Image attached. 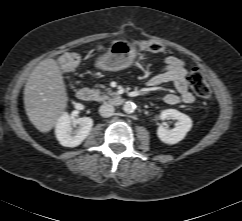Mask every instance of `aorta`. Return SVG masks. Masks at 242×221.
Masks as SVG:
<instances>
[{
	"mask_svg": "<svg viewBox=\"0 0 242 221\" xmlns=\"http://www.w3.org/2000/svg\"><path fill=\"white\" fill-rule=\"evenodd\" d=\"M135 109H136V105H135V103H133L131 101H127L123 105V110L126 113H133L135 111Z\"/></svg>",
	"mask_w": 242,
	"mask_h": 221,
	"instance_id": "762f6f07",
	"label": "aorta"
}]
</instances>
